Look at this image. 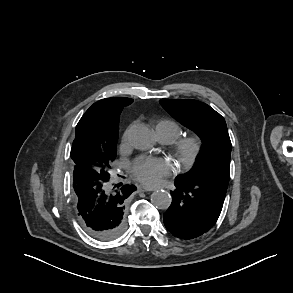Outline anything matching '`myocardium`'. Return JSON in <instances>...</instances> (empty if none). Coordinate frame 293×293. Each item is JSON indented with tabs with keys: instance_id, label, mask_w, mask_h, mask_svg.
I'll use <instances>...</instances> for the list:
<instances>
[{
	"instance_id": "1",
	"label": "myocardium",
	"mask_w": 293,
	"mask_h": 293,
	"mask_svg": "<svg viewBox=\"0 0 293 293\" xmlns=\"http://www.w3.org/2000/svg\"><path fill=\"white\" fill-rule=\"evenodd\" d=\"M203 148V140L199 135H189L180 138L174 143L173 154L182 169H188L198 159Z\"/></svg>"
}]
</instances>
